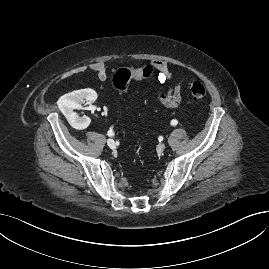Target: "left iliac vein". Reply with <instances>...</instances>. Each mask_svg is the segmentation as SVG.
I'll list each match as a JSON object with an SVG mask.
<instances>
[{
	"mask_svg": "<svg viewBox=\"0 0 269 269\" xmlns=\"http://www.w3.org/2000/svg\"><path fill=\"white\" fill-rule=\"evenodd\" d=\"M165 148H166V146L163 143H161V144L158 145V150L161 151V152L164 151Z\"/></svg>",
	"mask_w": 269,
	"mask_h": 269,
	"instance_id": "left-iliac-vein-1",
	"label": "left iliac vein"
}]
</instances>
